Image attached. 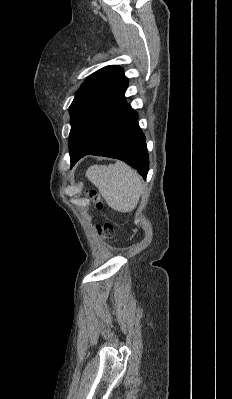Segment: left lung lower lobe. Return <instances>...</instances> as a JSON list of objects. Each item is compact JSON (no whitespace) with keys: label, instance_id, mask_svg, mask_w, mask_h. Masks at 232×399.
<instances>
[{"label":"left lung lower lobe","instance_id":"0a47b994","mask_svg":"<svg viewBox=\"0 0 232 399\" xmlns=\"http://www.w3.org/2000/svg\"><path fill=\"white\" fill-rule=\"evenodd\" d=\"M86 155L105 156L120 159L137 169L146 179L149 170V155L145 135L138 125V115L132 109L123 122L99 145ZM80 158L71 163L73 166Z\"/></svg>","mask_w":232,"mask_h":399}]
</instances>
